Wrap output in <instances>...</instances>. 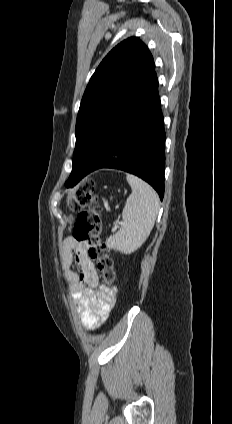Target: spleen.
Here are the masks:
<instances>
[{
	"instance_id": "3e777b00",
	"label": "spleen",
	"mask_w": 232,
	"mask_h": 424,
	"mask_svg": "<svg viewBox=\"0 0 232 424\" xmlns=\"http://www.w3.org/2000/svg\"><path fill=\"white\" fill-rule=\"evenodd\" d=\"M132 193L126 200L122 212V226L108 237L106 246L123 254H130L140 248L150 235L159 210L156 191L139 177L126 176Z\"/></svg>"
}]
</instances>
